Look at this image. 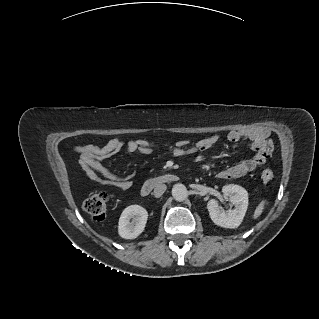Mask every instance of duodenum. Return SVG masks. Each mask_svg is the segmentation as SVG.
I'll return each instance as SVG.
<instances>
[{
    "instance_id": "410a0bca",
    "label": "duodenum",
    "mask_w": 319,
    "mask_h": 319,
    "mask_svg": "<svg viewBox=\"0 0 319 319\" xmlns=\"http://www.w3.org/2000/svg\"><path fill=\"white\" fill-rule=\"evenodd\" d=\"M176 179L177 177L175 175H159V176L151 177L147 179L141 186L140 194L142 196H147L157 186H160L168 182L176 181Z\"/></svg>"
}]
</instances>
